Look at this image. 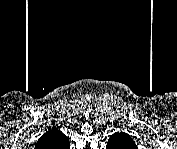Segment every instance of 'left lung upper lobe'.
<instances>
[{"instance_id":"obj_1","label":"left lung upper lobe","mask_w":177,"mask_h":149,"mask_svg":"<svg viewBox=\"0 0 177 149\" xmlns=\"http://www.w3.org/2000/svg\"><path fill=\"white\" fill-rule=\"evenodd\" d=\"M117 133H114L113 135H116ZM121 134H123V135H126V136H128V134H126V133H123V132H121ZM129 138V140H127L125 143H126V145H133V147H131V148H134L135 147V142L133 141V139L132 138H130V137H128ZM130 149V148H129Z\"/></svg>"}]
</instances>
